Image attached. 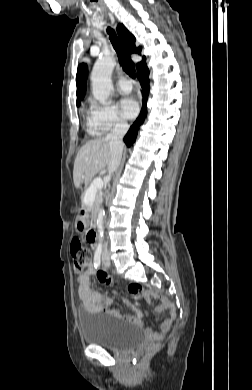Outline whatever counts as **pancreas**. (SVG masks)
I'll list each match as a JSON object with an SVG mask.
<instances>
[{"label": "pancreas", "instance_id": "1", "mask_svg": "<svg viewBox=\"0 0 252 390\" xmlns=\"http://www.w3.org/2000/svg\"><path fill=\"white\" fill-rule=\"evenodd\" d=\"M84 199H85V195L82 197L83 204H84L85 206L91 208L90 205H88L87 203H85ZM100 199H101V193H100L99 191H97L96 194H95V200H94V204H93V206H92V210H94L95 206L98 204V202L100 201Z\"/></svg>", "mask_w": 252, "mask_h": 390}]
</instances>
